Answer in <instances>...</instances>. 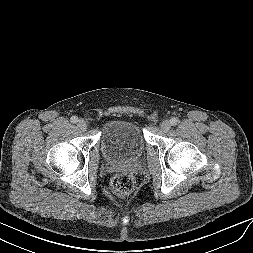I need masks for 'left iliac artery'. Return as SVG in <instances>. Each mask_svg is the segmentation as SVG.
<instances>
[{"label": "left iliac artery", "mask_w": 253, "mask_h": 253, "mask_svg": "<svg viewBox=\"0 0 253 253\" xmlns=\"http://www.w3.org/2000/svg\"><path fill=\"white\" fill-rule=\"evenodd\" d=\"M170 123H171V125L175 126V125H177L178 120L176 118H172V119H170Z\"/></svg>", "instance_id": "left-iliac-artery-1"}]
</instances>
